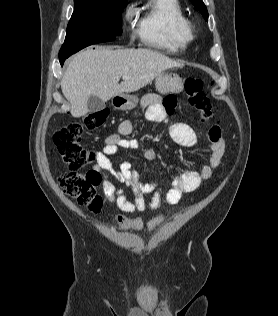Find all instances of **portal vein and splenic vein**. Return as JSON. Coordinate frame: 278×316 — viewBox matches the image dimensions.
Masks as SVG:
<instances>
[{
    "mask_svg": "<svg viewBox=\"0 0 278 316\" xmlns=\"http://www.w3.org/2000/svg\"><path fill=\"white\" fill-rule=\"evenodd\" d=\"M122 78H123V79H130L129 76H123Z\"/></svg>",
    "mask_w": 278,
    "mask_h": 316,
    "instance_id": "1",
    "label": "portal vein and splenic vein"
}]
</instances>
